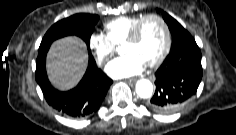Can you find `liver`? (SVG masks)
<instances>
[{
    "label": "liver",
    "instance_id": "1",
    "mask_svg": "<svg viewBox=\"0 0 236 135\" xmlns=\"http://www.w3.org/2000/svg\"><path fill=\"white\" fill-rule=\"evenodd\" d=\"M85 43L75 36L55 41L47 55V73L51 83L60 90L74 87L87 67Z\"/></svg>",
    "mask_w": 236,
    "mask_h": 135
}]
</instances>
